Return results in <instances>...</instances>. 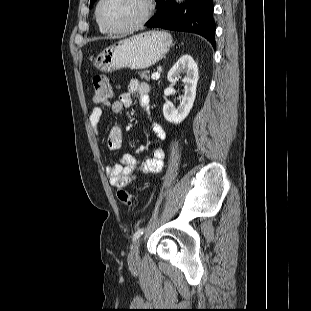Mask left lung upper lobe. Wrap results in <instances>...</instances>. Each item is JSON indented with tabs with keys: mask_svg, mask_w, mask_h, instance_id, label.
<instances>
[{
	"mask_svg": "<svg viewBox=\"0 0 311 311\" xmlns=\"http://www.w3.org/2000/svg\"><path fill=\"white\" fill-rule=\"evenodd\" d=\"M96 0H90V8L92 7V5L94 4Z\"/></svg>",
	"mask_w": 311,
	"mask_h": 311,
	"instance_id": "obj_1",
	"label": "left lung upper lobe"
}]
</instances>
